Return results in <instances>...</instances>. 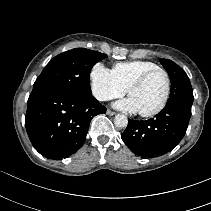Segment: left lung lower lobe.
I'll use <instances>...</instances> for the list:
<instances>
[{
    "label": "left lung lower lobe",
    "mask_w": 211,
    "mask_h": 211,
    "mask_svg": "<svg viewBox=\"0 0 211 211\" xmlns=\"http://www.w3.org/2000/svg\"><path fill=\"white\" fill-rule=\"evenodd\" d=\"M192 104L167 103L154 118L145 121L128 119L122 133L124 143L141 157H156L173 150L184 137L191 117Z\"/></svg>",
    "instance_id": "0a47b994"
}]
</instances>
